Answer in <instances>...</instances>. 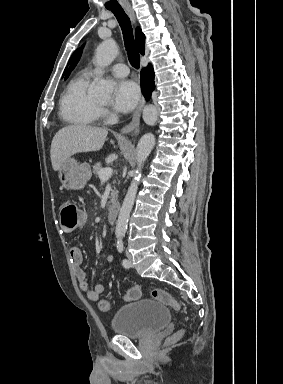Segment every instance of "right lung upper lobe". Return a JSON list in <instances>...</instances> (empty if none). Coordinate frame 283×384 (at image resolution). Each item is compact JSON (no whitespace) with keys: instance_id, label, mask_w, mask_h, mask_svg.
<instances>
[{"instance_id":"obj_1","label":"right lung upper lobe","mask_w":283,"mask_h":384,"mask_svg":"<svg viewBox=\"0 0 283 384\" xmlns=\"http://www.w3.org/2000/svg\"><path fill=\"white\" fill-rule=\"evenodd\" d=\"M136 42H137V47H138V50L141 54H144L145 53V36L144 34L142 33L141 29L140 28H137L136 29ZM80 56H81V53L78 55V57L76 58V60L73 62V64L71 65L69 71L67 72V75H66V78L69 76L71 70H73V68L76 66L77 62L79 61L80 59ZM65 78V79H66Z\"/></svg>"}]
</instances>
